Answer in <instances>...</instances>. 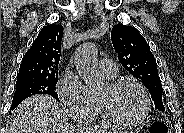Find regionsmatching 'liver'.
<instances>
[{
	"label": "liver",
	"mask_w": 184,
	"mask_h": 133,
	"mask_svg": "<svg viewBox=\"0 0 184 133\" xmlns=\"http://www.w3.org/2000/svg\"><path fill=\"white\" fill-rule=\"evenodd\" d=\"M59 103L48 95L25 99L11 113L7 133H100V130L72 127L62 119Z\"/></svg>",
	"instance_id": "1"
}]
</instances>
